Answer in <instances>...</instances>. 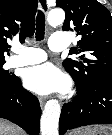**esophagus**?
<instances>
[{"label":"esophagus","instance_id":"esophagus-1","mask_svg":"<svg viewBox=\"0 0 112 135\" xmlns=\"http://www.w3.org/2000/svg\"><path fill=\"white\" fill-rule=\"evenodd\" d=\"M39 4L42 8L43 11L47 12L48 11V4H47V0H40L39 1ZM39 103H40V106L41 108L44 106L45 104V99L44 98H40L39 99Z\"/></svg>","mask_w":112,"mask_h":135}]
</instances>
